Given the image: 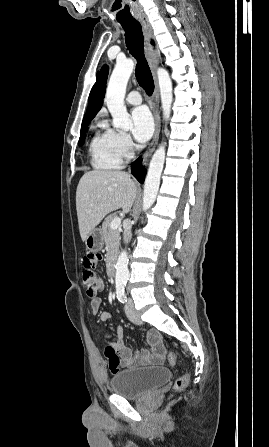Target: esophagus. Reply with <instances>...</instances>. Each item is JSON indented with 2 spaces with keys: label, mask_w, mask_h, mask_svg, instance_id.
Masks as SVG:
<instances>
[{
  "label": "esophagus",
  "mask_w": 269,
  "mask_h": 447,
  "mask_svg": "<svg viewBox=\"0 0 269 447\" xmlns=\"http://www.w3.org/2000/svg\"><path fill=\"white\" fill-rule=\"evenodd\" d=\"M138 20H139V22L142 26V29H143L145 52H146V55L148 58L150 70H151L152 77L154 80V91H153V96H152V99H153L152 112L154 115L155 131H154L152 141L143 156V165H146L149 156L151 155V153L153 152V150L155 149V147L158 143L160 130H161V117H160V113L158 111L159 89H158V81H157V75H156V69H157V66H158L159 60H160V52L157 49V47H154L151 43V40L154 38V36H153L151 24H150L147 16L140 15L138 17Z\"/></svg>",
  "instance_id": "esophagus-1"
}]
</instances>
